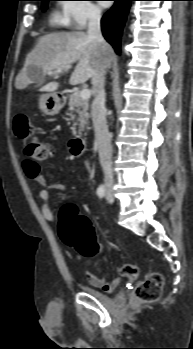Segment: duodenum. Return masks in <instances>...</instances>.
<instances>
[{
  "mask_svg": "<svg viewBox=\"0 0 193 349\" xmlns=\"http://www.w3.org/2000/svg\"><path fill=\"white\" fill-rule=\"evenodd\" d=\"M86 142L83 137H76L69 142L70 153L76 157L82 156L85 151Z\"/></svg>",
  "mask_w": 193,
  "mask_h": 349,
  "instance_id": "410a0bca",
  "label": "duodenum"
}]
</instances>
